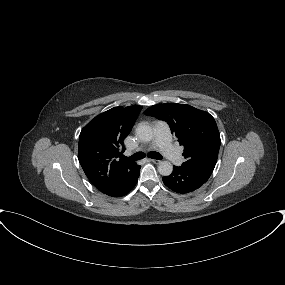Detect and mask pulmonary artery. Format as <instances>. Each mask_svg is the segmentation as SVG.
<instances>
[{
  "mask_svg": "<svg viewBox=\"0 0 285 285\" xmlns=\"http://www.w3.org/2000/svg\"><path fill=\"white\" fill-rule=\"evenodd\" d=\"M151 147H158L171 163L176 166L181 165L182 157L171 143V133L166 122H155L154 139L152 141Z\"/></svg>",
  "mask_w": 285,
  "mask_h": 285,
  "instance_id": "pulmonary-artery-1",
  "label": "pulmonary artery"
}]
</instances>
